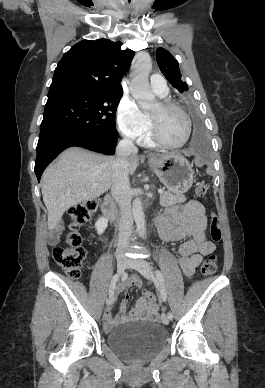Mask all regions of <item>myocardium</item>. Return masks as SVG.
<instances>
[{
    "mask_svg": "<svg viewBox=\"0 0 265 388\" xmlns=\"http://www.w3.org/2000/svg\"><path fill=\"white\" fill-rule=\"evenodd\" d=\"M150 85L153 88V84L151 83ZM155 91H166V90H155ZM160 106L164 110H175V111H177L178 113H180L182 115L183 120H184V136H183V139L179 143L173 144V143L167 142L161 136V134H160V132L158 130V126H157V122H156L155 117L151 115L153 139L160 146L165 147V148L175 149V148L182 147L189 140V137H190V134H191V120H190L189 115L186 113V111L184 109H182L180 106H178L176 104H173V103H169V102L160 103Z\"/></svg>",
    "mask_w": 265,
    "mask_h": 388,
    "instance_id": "1",
    "label": "myocardium"
}]
</instances>
